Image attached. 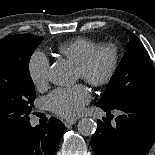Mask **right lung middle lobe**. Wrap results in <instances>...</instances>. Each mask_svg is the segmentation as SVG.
<instances>
[{
    "label": "right lung middle lobe",
    "instance_id": "obj_1",
    "mask_svg": "<svg viewBox=\"0 0 155 155\" xmlns=\"http://www.w3.org/2000/svg\"><path fill=\"white\" fill-rule=\"evenodd\" d=\"M42 40L31 34L0 40V138L30 124L36 93L28 64Z\"/></svg>",
    "mask_w": 155,
    "mask_h": 155
}]
</instances>
